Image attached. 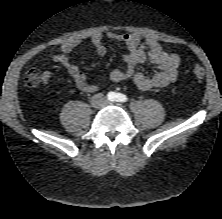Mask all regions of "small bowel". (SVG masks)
I'll use <instances>...</instances> for the list:
<instances>
[{
  "mask_svg": "<svg viewBox=\"0 0 222 219\" xmlns=\"http://www.w3.org/2000/svg\"><path fill=\"white\" fill-rule=\"evenodd\" d=\"M106 37L112 41L123 43L128 49V53L124 56V69L113 70L109 75L111 81H132L141 92L153 88H164L176 81L180 58L171 50L163 48L154 36L149 35L142 38L135 33L108 32ZM78 43V41L63 43L60 51L51 55V60L67 71L79 90L88 93L95 92L98 89L97 85L90 82L86 74L68 57V54L77 47ZM91 43L97 56L102 57L106 54L102 34H94L91 37ZM145 62H149L157 68L153 75L148 76L137 70V66ZM50 80L51 73L49 71L42 72L41 83L47 85Z\"/></svg>",
  "mask_w": 222,
  "mask_h": 219,
  "instance_id": "small-bowel-1",
  "label": "small bowel"
}]
</instances>
